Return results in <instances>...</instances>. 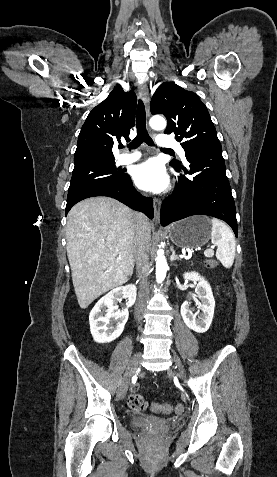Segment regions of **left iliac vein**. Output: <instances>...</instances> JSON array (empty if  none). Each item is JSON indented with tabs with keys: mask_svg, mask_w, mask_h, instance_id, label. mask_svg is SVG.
<instances>
[{
	"mask_svg": "<svg viewBox=\"0 0 277 477\" xmlns=\"http://www.w3.org/2000/svg\"><path fill=\"white\" fill-rule=\"evenodd\" d=\"M173 361L175 362L176 366L178 367L181 376L184 377V369H183V366H182V364L180 362V359L178 358L177 355H173Z\"/></svg>",
	"mask_w": 277,
	"mask_h": 477,
	"instance_id": "1",
	"label": "left iliac vein"
}]
</instances>
